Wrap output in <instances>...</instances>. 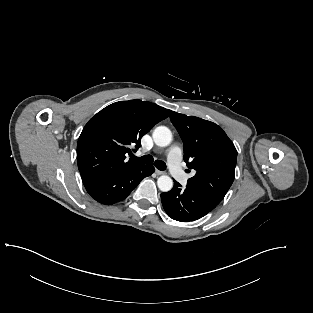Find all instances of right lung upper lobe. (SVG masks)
<instances>
[{"mask_svg": "<svg viewBox=\"0 0 313 313\" xmlns=\"http://www.w3.org/2000/svg\"><path fill=\"white\" fill-rule=\"evenodd\" d=\"M156 104L129 100L113 103L85 125L77 144V162L82 180L134 170L142 164L126 160L138 149L143 135L169 116Z\"/></svg>", "mask_w": 313, "mask_h": 313, "instance_id": "1", "label": "right lung upper lobe"}]
</instances>
